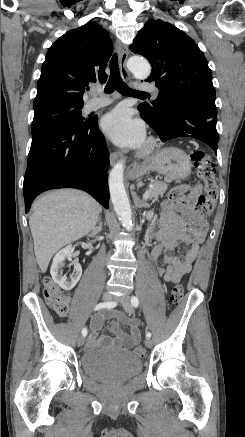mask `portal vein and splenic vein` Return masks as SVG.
<instances>
[{
	"instance_id": "1",
	"label": "portal vein and splenic vein",
	"mask_w": 245,
	"mask_h": 437,
	"mask_svg": "<svg viewBox=\"0 0 245 437\" xmlns=\"http://www.w3.org/2000/svg\"><path fill=\"white\" fill-rule=\"evenodd\" d=\"M149 198V190H146L143 194V199L147 200Z\"/></svg>"
}]
</instances>
